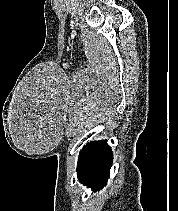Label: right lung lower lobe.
<instances>
[{
    "instance_id": "1",
    "label": "right lung lower lobe",
    "mask_w": 178,
    "mask_h": 211,
    "mask_svg": "<svg viewBox=\"0 0 178 211\" xmlns=\"http://www.w3.org/2000/svg\"><path fill=\"white\" fill-rule=\"evenodd\" d=\"M112 159V151L106 140L88 143L81 151L78 160L79 181L91 187L93 191L99 190L108 180Z\"/></svg>"
}]
</instances>
